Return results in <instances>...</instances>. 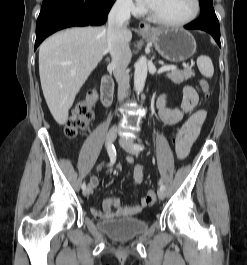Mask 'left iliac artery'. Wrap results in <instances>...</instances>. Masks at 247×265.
<instances>
[{
    "instance_id": "left-iliac-artery-1",
    "label": "left iliac artery",
    "mask_w": 247,
    "mask_h": 265,
    "mask_svg": "<svg viewBox=\"0 0 247 265\" xmlns=\"http://www.w3.org/2000/svg\"><path fill=\"white\" fill-rule=\"evenodd\" d=\"M134 148H136L139 151H142L144 149V145L141 144V143H138V144L134 145ZM159 184H160V189L161 190H165V186H164V184L161 181L159 182Z\"/></svg>"
}]
</instances>
